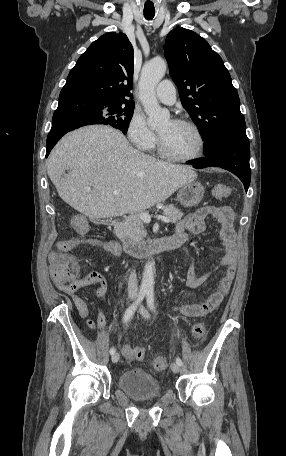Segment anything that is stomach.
Here are the masks:
<instances>
[{"mask_svg": "<svg viewBox=\"0 0 286 456\" xmlns=\"http://www.w3.org/2000/svg\"><path fill=\"white\" fill-rule=\"evenodd\" d=\"M204 193L205 189L200 182L191 181L179 189L177 199L184 207H193L201 202Z\"/></svg>", "mask_w": 286, "mask_h": 456, "instance_id": "0dacf381", "label": "stomach"}]
</instances>
